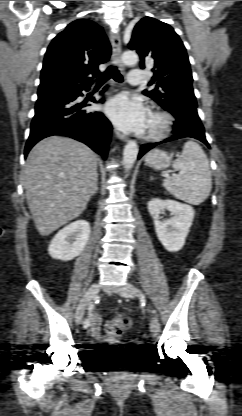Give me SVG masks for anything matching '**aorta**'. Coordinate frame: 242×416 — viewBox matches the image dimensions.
Masks as SVG:
<instances>
[{
    "label": "aorta",
    "mask_w": 242,
    "mask_h": 416,
    "mask_svg": "<svg viewBox=\"0 0 242 416\" xmlns=\"http://www.w3.org/2000/svg\"><path fill=\"white\" fill-rule=\"evenodd\" d=\"M122 61L126 65H135L138 62V55L134 51H126L122 55ZM139 152L138 145L135 141H129L123 151V166L128 172L134 165Z\"/></svg>",
    "instance_id": "aorta-1"
}]
</instances>
